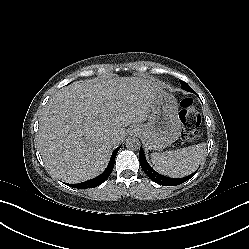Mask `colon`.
Listing matches in <instances>:
<instances>
[{
    "label": "colon",
    "mask_w": 249,
    "mask_h": 249,
    "mask_svg": "<svg viewBox=\"0 0 249 249\" xmlns=\"http://www.w3.org/2000/svg\"><path fill=\"white\" fill-rule=\"evenodd\" d=\"M180 117L183 124V136L194 141L198 138L200 116L196 104L191 97H184L180 102Z\"/></svg>",
    "instance_id": "colon-1"
}]
</instances>
